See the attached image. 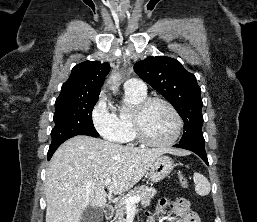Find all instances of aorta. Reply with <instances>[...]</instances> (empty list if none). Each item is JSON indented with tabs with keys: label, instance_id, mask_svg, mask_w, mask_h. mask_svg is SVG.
Here are the masks:
<instances>
[{
	"label": "aorta",
	"instance_id": "762f6f07",
	"mask_svg": "<svg viewBox=\"0 0 257 222\" xmlns=\"http://www.w3.org/2000/svg\"><path fill=\"white\" fill-rule=\"evenodd\" d=\"M118 79H119V75L118 74H115V75H112L110 77V82L112 83V90L115 92L118 90Z\"/></svg>",
	"mask_w": 257,
	"mask_h": 222
}]
</instances>
